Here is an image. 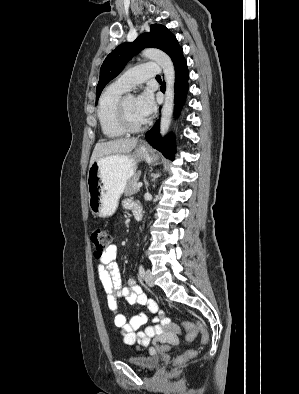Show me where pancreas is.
<instances>
[{"label":"pancreas","mask_w":299,"mask_h":394,"mask_svg":"<svg viewBox=\"0 0 299 394\" xmlns=\"http://www.w3.org/2000/svg\"><path fill=\"white\" fill-rule=\"evenodd\" d=\"M139 177H140V172H137L134 174V176L131 179L128 180L124 190L125 196H131L139 191V188L136 187Z\"/></svg>","instance_id":"cf45deb5"}]
</instances>
